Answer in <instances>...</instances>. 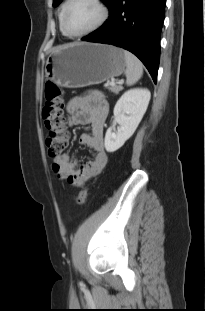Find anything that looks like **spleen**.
<instances>
[{"instance_id": "spleen-1", "label": "spleen", "mask_w": 205, "mask_h": 311, "mask_svg": "<svg viewBox=\"0 0 205 311\" xmlns=\"http://www.w3.org/2000/svg\"><path fill=\"white\" fill-rule=\"evenodd\" d=\"M124 56L126 61V83L127 85H132L141 78L143 66L141 61L131 52L124 50Z\"/></svg>"}]
</instances>
